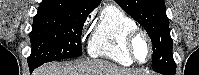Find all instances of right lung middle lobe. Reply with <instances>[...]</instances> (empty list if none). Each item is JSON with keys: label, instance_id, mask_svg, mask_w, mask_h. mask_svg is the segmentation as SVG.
I'll return each instance as SVG.
<instances>
[{"label": "right lung middle lobe", "instance_id": "obj_1", "mask_svg": "<svg viewBox=\"0 0 199 75\" xmlns=\"http://www.w3.org/2000/svg\"><path fill=\"white\" fill-rule=\"evenodd\" d=\"M87 16L60 9H38L30 33L29 65L38 67L46 62L81 56V33Z\"/></svg>", "mask_w": 199, "mask_h": 75}]
</instances>
